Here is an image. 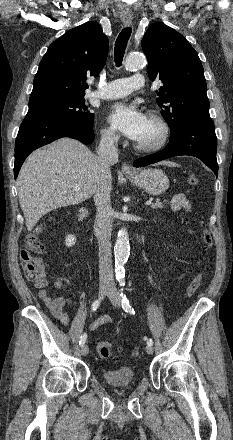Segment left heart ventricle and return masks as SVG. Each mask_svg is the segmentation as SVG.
Segmentation results:
<instances>
[{"mask_svg": "<svg viewBox=\"0 0 233 440\" xmlns=\"http://www.w3.org/2000/svg\"><path fill=\"white\" fill-rule=\"evenodd\" d=\"M160 136V128L152 121L147 119V124L140 136L137 140L141 143L150 144L155 142Z\"/></svg>", "mask_w": 233, "mask_h": 440, "instance_id": "1", "label": "left heart ventricle"}]
</instances>
